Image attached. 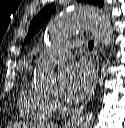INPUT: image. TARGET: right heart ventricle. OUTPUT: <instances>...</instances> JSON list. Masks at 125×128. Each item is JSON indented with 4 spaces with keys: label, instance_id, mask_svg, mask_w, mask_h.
Wrapping results in <instances>:
<instances>
[{
    "label": "right heart ventricle",
    "instance_id": "1",
    "mask_svg": "<svg viewBox=\"0 0 125 128\" xmlns=\"http://www.w3.org/2000/svg\"><path fill=\"white\" fill-rule=\"evenodd\" d=\"M18 108L23 117L36 121L51 119L54 110L49 97L28 79H25L21 85Z\"/></svg>",
    "mask_w": 125,
    "mask_h": 128
}]
</instances>
